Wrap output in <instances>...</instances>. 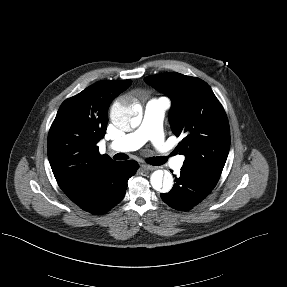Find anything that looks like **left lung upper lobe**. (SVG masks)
<instances>
[{
	"label": "left lung upper lobe",
	"mask_w": 287,
	"mask_h": 287,
	"mask_svg": "<svg viewBox=\"0 0 287 287\" xmlns=\"http://www.w3.org/2000/svg\"><path fill=\"white\" fill-rule=\"evenodd\" d=\"M171 101L173 133L184 138L176 149L185 155L183 166L198 172L216 185L230 148V128L226 113L211 87L203 80L171 72L145 77Z\"/></svg>",
	"instance_id": "1"
}]
</instances>
